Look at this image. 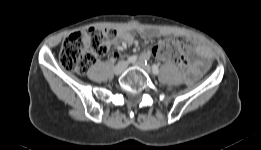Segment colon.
I'll use <instances>...</instances> for the list:
<instances>
[{"label": "colon", "instance_id": "1", "mask_svg": "<svg viewBox=\"0 0 261 150\" xmlns=\"http://www.w3.org/2000/svg\"><path fill=\"white\" fill-rule=\"evenodd\" d=\"M117 32L112 28L99 29L89 27L70 34L60 50V63L69 71L85 74L99 57L108 54L110 44L115 40ZM154 57L177 63L185 72L187 61L181 44L174 38L160 42L152 49Z\"/></svg>", "mask_w": 261, "mask_h": 150}]
</instances>
